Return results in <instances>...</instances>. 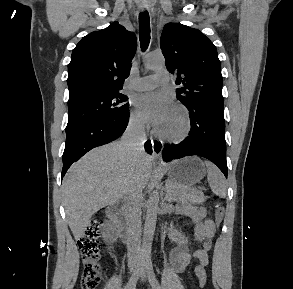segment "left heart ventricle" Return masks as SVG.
<instances>
[{
  "label": "left heart ventricle",
  "instance_id": "1",
  "mask_svg": "<svg viewBox=\"0 0 293 289\" xmlns=\"http://www.w3.org/2000/svg\"><path fill=\"white\" fill-rule=\"evenodd\" d=\"M184 125L183 117L179 111L173 109L169 117L160 125L158 129L167 135L179 133Z\"/></svg>",
  "mask_w": 293,
  "mask_h": 289
}]
</instances>
